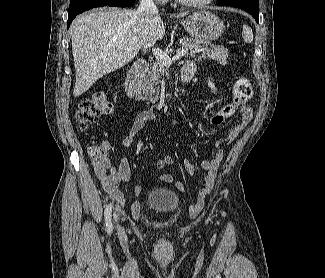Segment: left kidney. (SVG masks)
<instances>
[{
    "label": "left kidney",
    "mask_w": 325,
    "mask_h": 278,
    "mask_svg": "<svg viewBox=\"0 0 325 278\" xmlns=\"http://www.w3.org/2000/svg\"><path fill=\"white\" fill-rule=\"evenodd\" d=\"M208 86L211 88V90L216 91V87H215L214 83L211 82L210 80L208 81Z\"/></svg>",
    "instance_id": "1"
}]
</instances>
